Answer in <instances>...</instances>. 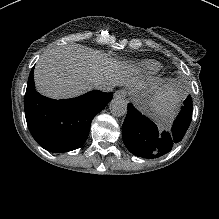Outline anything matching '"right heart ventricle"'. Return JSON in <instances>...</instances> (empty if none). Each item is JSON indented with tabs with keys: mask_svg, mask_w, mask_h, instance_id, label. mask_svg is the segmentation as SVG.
<instances>
[{
	"mask_svg": "<svg viewBox=\"0 0 219 219\" xmlns=\"http://www.w3.org/2000/svg\"><path fill=\"white\" fill-rule=\"evenodd\" d=\"M135 70L139 73L151 76L160 70V64L151 60H144L136 64Z\"/></svg>",
	"mask_w": 219,
	"mask_h": 219,
	"instance_id": "e07e8e85",
	"label": "right heart ventricle"
}]
</instances>
